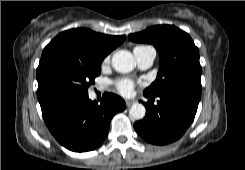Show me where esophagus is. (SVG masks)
<instances>
[{
    "label": "esophagus",
    "instance_id": "esophagus-1",
    "mask_svg": "<svg viewBox=\"0 0 245 170\" xmlns=\"http://www.w3.org/2000/svg\"><path fill=\"white\" fill-rule=\"evenodd\" d=\"M127 107L132 105L133 101L132 100H125Z\"/></svg>",
    "mask_w": 245,
    "mask_h": 170
}]
</instances>
